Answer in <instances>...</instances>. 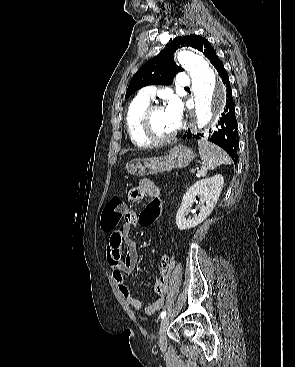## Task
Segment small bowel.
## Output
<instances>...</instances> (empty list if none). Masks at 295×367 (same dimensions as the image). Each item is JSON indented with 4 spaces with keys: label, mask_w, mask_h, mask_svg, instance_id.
<instances>
[{
    "label": "small bowel",
    "mask_w": 295,
    "mask_h": 367,
    "mask_svg": "<svg viewBox=\"0 0 295 367\" xmlns=\"http://www.w3.org/2000/svg\"><path fill=\"white\" fill-rule=\"evenodd\" d=\"M151 195H161L160 187L153 180L142 179L139 185L129 192L128 199L131 203H137L145 196ZM137 213V208H129L128 212L125 213V222L111 231L106 245V260L113 270L114 280L126 302L134 309L140 310L142 308L141 302L133 297L125 282V276L134 274L138 265L137 243L130 237L132 226L140 222ZM123 244L126 246L124 254L122 253ZM170 273L171 261L166 254H162L159 263V276L154 284V290L158 297L145 308L146 314H153L164 305Z\"/></svg>",
    "instance_id": "small-bowel-1"
}]
</instances>
